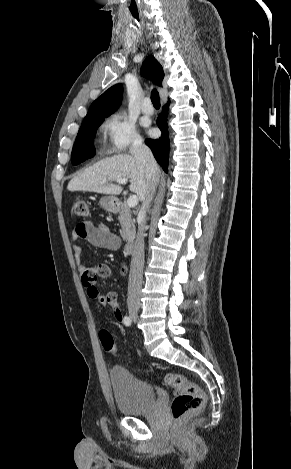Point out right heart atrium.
<instances>
[{"mask_svg":"<svg viewBox=\"0 0 291 469\" xmlns=\"http://www.w3.org/2000/svg\"><path fill=\"white\" fill-rule=\"evenodd\" d=\"M101 130L105 138L106 149L111 153H122L137 148L142 143L135 124L121 112L108 116Z\"/></svg>","mask_w":291,"mask_h":469,"instance_id":"right-heart-atrium-1","label":"right heart atrium"}]
</instances>
